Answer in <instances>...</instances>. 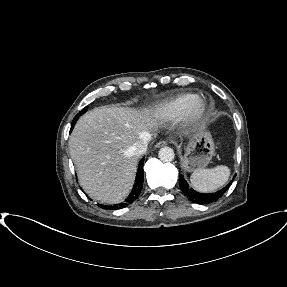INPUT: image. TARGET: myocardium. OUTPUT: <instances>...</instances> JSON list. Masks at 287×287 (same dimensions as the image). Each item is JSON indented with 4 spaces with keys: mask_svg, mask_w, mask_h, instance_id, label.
Returning <instances> with one entry per match:
<instances>
[{
    "mask_svg": "<svg viewBox=\"0 0 287 287\" xmlns=\"http://www.w3.org/2000/svg\"><path fill=\"white\" fill-rule=\"evenodd\" d=\"M209 111V104L201 97H195L181 114L186 124H196L203 120Z\"/></svg>",
    "mask_w": 287,
    "mask_h": 287,
    "instance_id": "f54148a6",
    "label": "myocardium"
}]
</instances>
